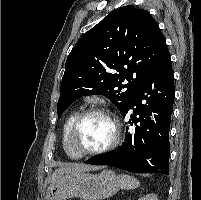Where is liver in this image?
<instances>
[{"mask_svg": "<svg viewBox=\"0 0 201 200\" xmlns=\"http://www.w3.org/2000/svg\"><path fill=\"white\" fill-rule=\"evenodd\" d=\"M91 169H95V168L92 166L81 165V164H72V165H68L65 167H61V168L56 169L53 172V174L49 178L48 182L51 183V182H54L56 180H59L64 175L79 173V172H85V171H89Z\"/></svg>", "mask_w": 201, "mask_h": 200, "instance_id": "liver-1", "label": "liver"}]
</instances>
